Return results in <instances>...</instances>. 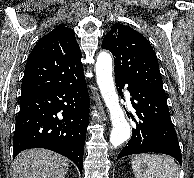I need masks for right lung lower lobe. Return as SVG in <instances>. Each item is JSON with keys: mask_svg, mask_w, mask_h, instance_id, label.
Listing matches in <instances>:
<instances>
[{"mask_svg": "<svg viewBox=\"0 0 194 178\" xmlns=\"http://www.w3.org/2000/svg\"><path fill=\"white\" fill-rule=\"evenodd\" d=\"M89 106L85 78L21 97L13 157L25 149L46 148L69 158L82 172Z\"/></svg>", "mask_w": 194, "mask_h": 178, "instance_id": "right-lung-lower-lobe-1", "label": "right lung lower lobe"}]
</instances>
